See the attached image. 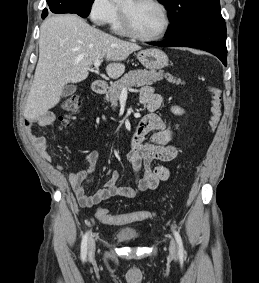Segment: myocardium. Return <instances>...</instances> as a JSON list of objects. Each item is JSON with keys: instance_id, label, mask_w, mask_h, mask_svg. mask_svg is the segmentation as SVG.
<instances>
[{"instance_id": "f54148a6", "label": "myocardium", "mask_w": 259, "mask_h": 283, "mask_svg": "<svg viewBox=\"0 0 259 283\" xmlns=\"http://www.w3.org/2000/svg\"><path fill=\"white\" fill-rule=\"evenodd\" d=\"M136 1H149L159 7L165 19L164 29L162 30L160 34L156 36L142 35L135 29L128 11L124 9L122 6H119L120 18H121V23H122L124 32L128 34L129 36L135 39H138V40H142V41H156V40H160L164 38L166 34L168 33L170 26H171V17H170L169 11L167 7L165 6V4L160 0H136Z\"/></svg>"}]
</instances>
